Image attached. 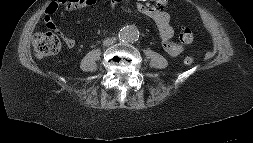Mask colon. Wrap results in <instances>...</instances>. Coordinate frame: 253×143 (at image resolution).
I'll list each match as a JSON object with an SVG mask.
<instances>
[{"label":"colon","mask_w":253,"mask_h":143,"mask_svg":"<svg viewBox=\"0 0 253 143\" xmlns=\"http://www.w3.org/2000/svg\"><path fill=\"white\" fill-rule=\"evenodd\" d=\"M155 0H147L152 2ZM91 0H53L47 7V9L54 13L58 8H76L90 3ZM182 38L185 42H189L192 39V33L189 29L185 28L182 31ZM33 48L37 58H46L55 55L61 48V43L58 37L52 32H39L33 37ZM193 62L191 56H186L184 63L189 65Z\"/></svg>","instance_id":"5ec220e1"}]
</instances>
